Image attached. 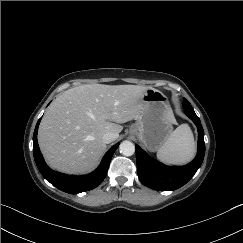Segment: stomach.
Returning <instances> with one entry per match:
<instances>
[{"instance_id": "1", "label": "stomach", "mask_w": 243, "mask_h": 243, "mask_svg": "<svg viewBox=\"0 0 243 243\" xmlns=\"http://www.w3.org/2000/svg\"><path fill=\"white\" fill-rule=\"evenodd\" d=\"M142 108L129 128L150 151L159 149L172 133L173 113L168 98L159 90L149 87L141 98Z\"/></svg>"}]
</instances>
